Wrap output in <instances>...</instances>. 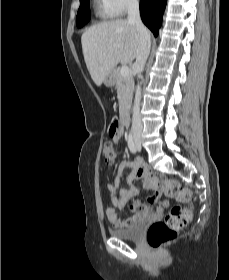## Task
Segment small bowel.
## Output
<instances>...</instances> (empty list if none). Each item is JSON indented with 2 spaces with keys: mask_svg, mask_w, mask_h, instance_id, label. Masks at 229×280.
Masks as SVG:
<instances>
[{
  "mask_svg": "<svg viewBox=\"0 0 229 280\" xmlns=\"http://www.w3.org/2000/svg\"><path fill=\"white\" fill-rule=\"evenodd\" d=\"M122 137V129H118L114 134L111 135L114 143L121 142ZM127 169L129 170V173L127 175V181L129 182V185L127 188L121 189L117 193V187L120 185L124 177V173ZM150 177V172L144 165H142L140 161L125 159L118 164L114 173L115 185L109 184L107 186L108 193L111 197L112 207H109L106 210V215L114 228H128L134 225L139 220L150 218L153 215L163 214L164 208L168 205L167 202L158 205L155 210H152L151 208L140 202H134L130 206V210L133 213L132 216L121 219L117 215L116 210L123 209L126 206L127 202L134 198L138 192L137 187L132 184V182L139 179L146 182ZM162 194H166V192L161 189H156L155 196L152 198V202L157 203L159 197Z\"/></svg>",
  "mask_w": 229,
  "mask_h": 280,
  "instance_id": "small-bowel-1",
  "label": "small bowel"
}]
</instances>
